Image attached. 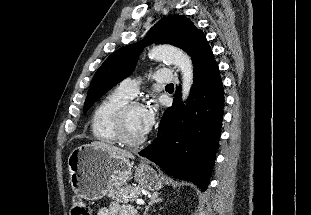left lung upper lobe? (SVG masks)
Masks as SVG:
<instances>
[{
	"label": "left lung upper lobe",
	"instance_id": "left-lung-upper-lobe-1",
	"mask_svg": "<svg viewBox=\"0 0 311 215\" xmlns=\"http://www.w3.org/2000/svg\"><path fill=\"white\" fill-rule=\"evenodd\" d=\"M204 36L190 19L182 15L162 18L145 39L127 45L112 53L96 71L84 104L86 112L103 94L126 78L135 68L142 48L150 43L171 44L189 52L194 43Z\"/></svg>",
	"mask_w": 311,
	"mask_h": 215
}]
</instances>
